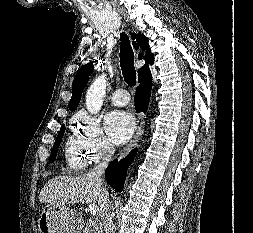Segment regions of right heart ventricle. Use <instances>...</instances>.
<instances>
[{"label":"right heart ventricle","instance_id":"right-heart-ventricle-1","mask_svg":"<svg viewBox=\"0 0 253 233\" xmlns=\"http://www.w3.org/2000/svg\"><path fill=\"white\" fill-rule=\"evenodd\" d=\"M65 163L71 170H82L88 163L87 155L79 139L69 137L64 148Z\"/></svg>","mask_w":253,"mask_h":233}]
</instances>
